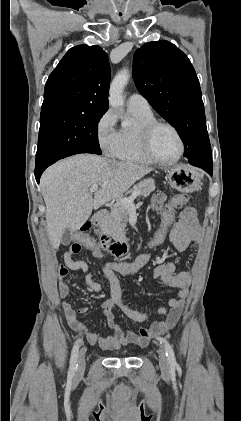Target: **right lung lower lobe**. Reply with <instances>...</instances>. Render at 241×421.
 <instances>
[{"label":"right lung lower lobe","mask_w":241,"mask_h":421,"mask_svg":"<svg viewBox=\"0 0 241 421\" xmlns=\"http://www.w3.org/2000/svg\"><path fill=\"white\" fill-rule=\"evenodd\" d=\"M54 162H51V163H47V164H43V165H36V167H35V178H36V181L39 183V179H40V176H41V174H42V172L49 166V165H51V164H53Z\"/></svg>","instance_id":"obj_1"}]
</instances>
